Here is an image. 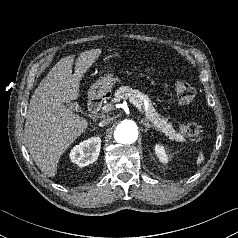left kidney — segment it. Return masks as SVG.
<instances>
[{
    "label": "left kidney",
    "mask_w": 238,
    "mask_h": 238,
    "mask_svg": "<svg viewBox=\"0 0 238 238\" xmlns=\"http://www.w3.org/2000/svg\"><path fill=\"white\" fill-rule=\"evenodd\" d=\"M155 153H156L157 157L159 158V160H160L162 163H168V161H169V156H168V154L166 153L165 148H164L163 145H161V144H156V145H155Z\"/></svg>",
    "instance_id": "1"
}]
</instances>
